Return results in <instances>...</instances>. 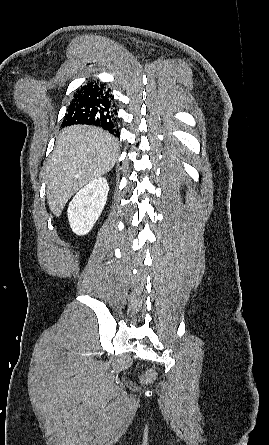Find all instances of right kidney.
Segmentation results:
<instances>
[{"label":"right kidney","mask_w":269,"mask_h":445,"mask_svg":"<svg viewBox=\"0 0 269 445\" xmlns=\"http://www.w3.org/2000/svg\"><path fill=\"white\" fill-rule=\"evenodd\" d=\"M108 192L107 180L95 178L75 195L67 210L75 234L86 235L91 231L104 209Z\"/></svg>","instance_id":"ca27d5eb"}]
</instances>
